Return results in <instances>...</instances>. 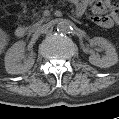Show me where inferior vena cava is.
I'll return each mask as SVG.
<instances>
[{
  "label": "inferior vena cava",
  "mask_w": 119,
  "mask_h": 119,
  "mask_svg": "<svg viewBox=\"0 0 119 119\" xmlns=\"http://www.w3.org/2000/svg\"><path fill=\"white\" fill-rule=\"evenodd\" d=\"M50 28H51V24L48 23V24H45V25H42V26L38 27L36 29L35 33L37 35H40V34H43V33L47 32Z\"/></svg>",
  "instance_id": "inferior-vena-cava-1"
}]
</instances>
